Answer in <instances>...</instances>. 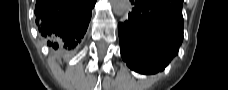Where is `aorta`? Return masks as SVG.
Segmentation results:
<instances>
[{
  "instance_id": "aorta-1",
  "label": "aorta",
  "mask_w": 228,
  "mask_h": 90,
  "mask_svg": "<svg viewBox=\"0 0 228 90\" xmlns=\"http://www.w3.org/2000/svg\"><path fill=\"white\" fill-rule=\"evenodd\" d=\"M112 8L117 16H127L130 11L129 0H112Z\"/></svg>"
}]
</instances>
